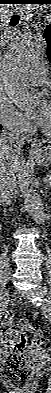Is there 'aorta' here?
<instances>
[{"label": "aorta", "instance_id": "obj_1", "mask_svg": "<svg viewBox=\"0 0 51 393\" xmlns=\"http://www.w3.org/2000/svg\"><path fill=\"white\" fill-rule=\"evenodd\" d=\"M46 52V41L38 34L18 35L14 38L5 58V90L23 110H30L36 104V98L25 83L23 73L36 61L40 60ZM24 206L29 215L39 224H44L47 216L38 192L29 185L22 188ZM51 241V238H46Z\"/></svg>", "mask_w": 51, "mask_h": 393}]
</instances>
